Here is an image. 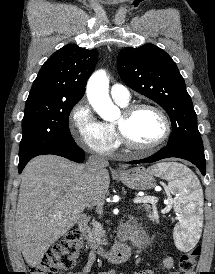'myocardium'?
Returning <instances> with one entry per match:
<instances>
[{
	"label": "myocardium",
	"instance_id": "f54148a6",
	"mask_svg": "<svg viewBox=\"0 0 215 274\" xmlns=\"http://www.w3.org/2000/svg\"><path fill=\"white\" fill-rule=\"evenodd\" d=\"M141 109H150L154 112H156L160 118L163 121L164 124V132L162 136L156 140L155 142L149 144V145H138L130 140L128 135L126 134V131L124 129V123L137 111ZM122 121L121 122H116L114 124V128L116 131V134L120 140V142L128 149L133 150V151H138V152H150L161 145H163L168 138L171 135L172 132V126H171V121L166 114V112L160 108L157 105L151 104V103H135L131 105H127L123 108L122 110Z\"/></svg>",
	"mask_w": 215,
	"mask_h": 274
}]
</instances>
